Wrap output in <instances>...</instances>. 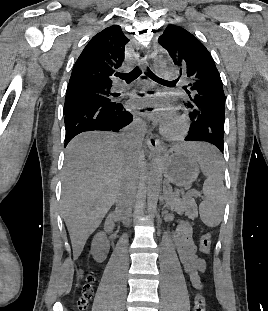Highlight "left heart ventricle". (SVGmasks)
<instances>
[{
    "mask_svg": "<svg viewBox=\"0 0 268 311\" xmlns=\"http://www.w3.org/2000/svg\"><path fill=\"white\" fill-rule=\"evenodd\" d=\"M167 126H169L170 128H174V124L173 121H171L170 123L166 124Z\"/></svg>",
    "mask_w": 268,
    "mask_h": 311,
    "instance_id": "b2bd125f",
    "label": "left heart ventricle"
}]
</instances>
